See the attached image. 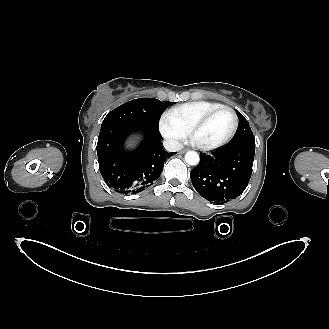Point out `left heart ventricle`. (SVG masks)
<instances>
[{"instance_id": "1", "label": "left heart ventricle", "mask_w": 329, "mask_h": 329, "mask_svg": "<svg viewBox=\"0 0 329 329\" xmlns=\"http://www.w3.org/2000/svg\"><path fill=\"white\" fill-rule=\"evenodd\" d=\"M233 127V116L227 111H221L213 116L195 135L200 143L210 144L225 139Z\"/></svg>"}]
</instances>
